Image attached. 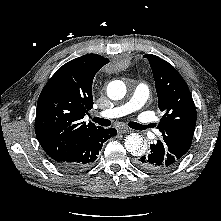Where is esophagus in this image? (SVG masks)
<instances>
[{"instance_id":"esophagus-1","label":"esophagus","mask_w":221,"mask_h":221,"mask_svg":"<svg viewBox=\"0 0 221 221\" xmlns=\"http://www.w3.org/2000/svg\"><path fill=\"white\" fill-rule=\"evenodd\" d=\"M118 132L119 133H129L131 132V129L127 128V127H124V126H121L118 128Z\"/></svg>"}]
</instances>
